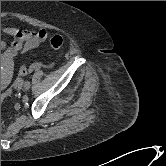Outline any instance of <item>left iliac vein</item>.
I'll return each instance as SVG.
<instances>
[{
  "instance_id": "left-iliac-vein-1",
  "label": "left iliac vein",
  "mask_w": 166,
  "mask_h": 166,
  "mask_svg": "<svg viewBox=\"0 0 166 166\" xmlns=\"http://www.w3.org/2000/svg\"><path fill=\"white\" fill-rule=\"evenodd\" d=\"M30 86H31V83L29 81L25 82V84H24L25 89H29Z\"/></svg>"
}]
</instances>
